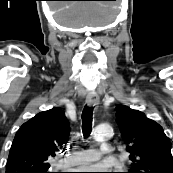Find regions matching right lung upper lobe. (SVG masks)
Segmentation results:
<instances>
[{"label":"right lung upper lobe","instance_id":"obj_1","mask_svg":"<svg viewBox=\"0 0 173 173\" xmlns=\"http://www.w3.org/2000/svg\"><path fill=\"white\" fill-rule=\"evenodd\" d=\"M69 125L64 112L52 108L38 113L17 131L6 173H32L50 167L48 158L65 144Z\"/></svg>","mask_w":173,"mask_h":173}]
</instances>
